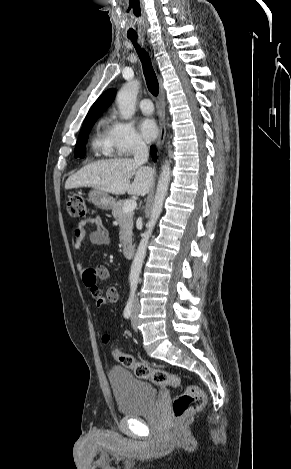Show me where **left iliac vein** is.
<instances>
[{
  "mask_svg": "<svg viewBox=\"0 0 291 469\" xmlns=\"http://www.w3.org/2000/svg\"><path fill=\"white\" fill-rule=\"evenodd\" d=\"M138 305H135L133 308L132 316H131V324L135 330H137V319H138Z\"/></svg>",
  "mask_w": 291,
  "mask_h": 469,
  "instance_id": "1",
  "label": "left iliac vein"
}]
</instances>
